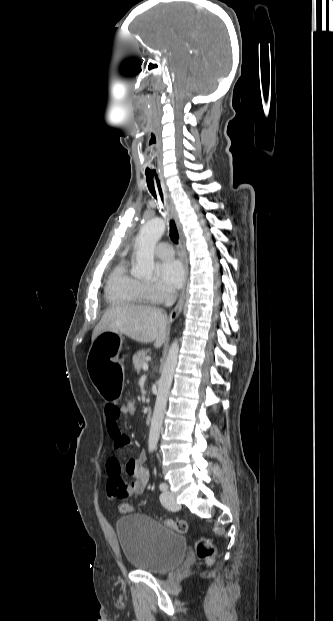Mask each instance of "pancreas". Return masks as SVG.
Masks as SVG:
<instances>
[{
	"mask_svg": "<svg viewBox=\"0 0 333 621\" xmlns=\"http://www.w3.org/2000/svg\"><path fill=\"white\" fill-rule=\"evenodd\" d=\"M147 351L140 350L133 355V364L136 370L140 371L142 369L143 364L146 363Z\"/></svg>",
	"mask_w": 333,
	"mask_h": 621,
	"instance_id": "cf45deb5",
	"label": "pancreas"
}]
</instances>
